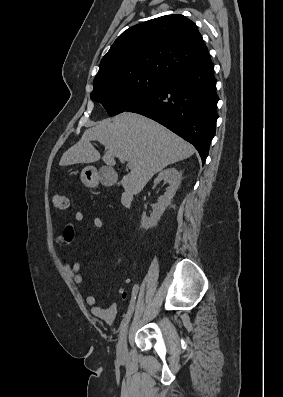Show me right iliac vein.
Wrapping results in <instances>:
<instances>
[{
  "mask_svg": "<svg viewBox=\"0 0 283 397\" xmlns=\"http://www.w3.org/2000/svg\"><path fill=\"white\" fill-rule=\"evenodd\" d=\"M129 322V321H128ZM128 323L126 324L124 330L120 334L119 343L117 346V357L119 360H124L127 356V333H128Z\"/></svg>",
  "mask_w": 283,
  "mask_h": 397,
  "instance_id": "right-iliac-vein-1",
  "label": "right iliac vein"
}]
</instances>
